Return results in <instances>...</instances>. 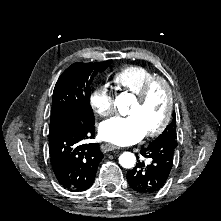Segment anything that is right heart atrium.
<instances>
[{
	"label": "right heart atrium",
	"mask_w": 221,
	"mask_h": 221,
	"mask_svg": "<svg viewBox=\"0 0 221 221\" xmlns=\"http://www.w3.org/2000/svg\"><path fill=\"white\" fill-rule=\"evenodd\" d=\"M89 102L93 111L103 118L108 117L113 111V95L105 86L95 88Z\"/></svg>",
	"instance_id": "d8ad5b80"
}]
</instances>
